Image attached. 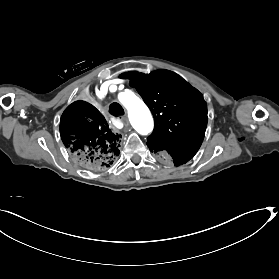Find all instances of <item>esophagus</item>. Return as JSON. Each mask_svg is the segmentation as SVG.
<instances>
[{
  "label": "esophagus",
  "instance_id": "1",
  "mask_svg": "<svg viewBox=\"0 0 279 279\" xmlns=\"http://www.w3.org/2000/svg\"><path fill=\"white\" fill-rule=\"evenodd\" d=\"M118 119L124 124L125 127L129 126V120L125 116H119Z\"/></svg>",
  "mask_w": 279,
  "mask_h": 279
}]
</instances>
